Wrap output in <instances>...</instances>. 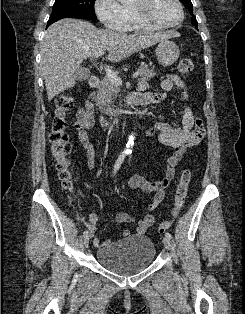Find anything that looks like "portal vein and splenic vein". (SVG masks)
Here are the masks:
<instances>
[{
	"instance_id": "1",
	"label": "portal vein and splenic vein",
	"mask_w": 245,
	"mask_h": 314,
	"mask_svg": "<svg viewBox=\"0 0 245 314\" xmlns=\"http://www.w3.org/2000/svg\"><path fill=\"white\" fill-rule=\"evenodd\" d=\"M104 51H99L98 53H96L94 55V58H98L102 55H104ZM105 72H106V76L108 77L109 81L114 84V85H117V86H121L122 85V80L120 77H118L114 71L112 69H110L108 66H105ZM139 75L138 72H135L132 77L133 78H137Z\"/></svg>"
}]
</instances>
